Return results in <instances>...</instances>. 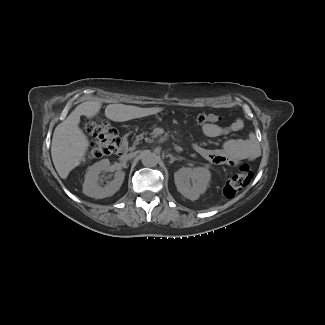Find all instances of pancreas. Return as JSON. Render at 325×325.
Segmentation results:
<instances>
[{"instance_id":"1","label":"pancreas","mask_w":325,"mask_h":325,"mask_svg":"<svg viewBox=\"0 0 325 325\" xmlns=\"http://www.w3.org/2000/svg\"><path fill=\"white\" fill-rule=\"evenodd\" d=\"M150 131H151V130H150V128H148V127L145 128V129H144V128L141 129L139 135H137V137H136V136L133 137V139H132V140H133V141H132L133 144H134L135 146H139V144H140L139 141L142 140V138H144L145 136H147V134L150 133ZM138 140H139V141H138Z\"/></svg>"}]
</instances>
